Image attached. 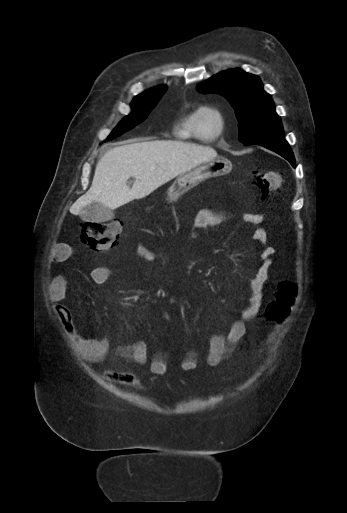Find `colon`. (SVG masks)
I'll list each match as a JSON object with an SVG mask.
<instances>
[{
	"mask_svg": "<svg viewBox=\"0 0 347 513\" xmlns=\"http://www.w3.org/2000/svg\"><path fill=\"white\" fill-rule=\"evenodd\" d=\"M281 174L274 170H256L250 176L251 185L259 192L262 201L276 192L281 185ZM123 225L118 220L110 222H85L80 226V238L83 243L98 252H107L114 248L122 235ZM298 286L290 281H282L274 300L267 307V317L276 322L286 319L298 297Z\"/></svg>",
	"mask_w": 347,
	"mask_h": 513,
	"instance_id": "colon-1",
	"label": "colon"
}]
</instances>
